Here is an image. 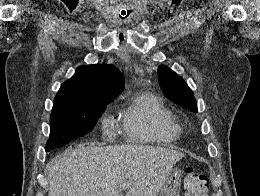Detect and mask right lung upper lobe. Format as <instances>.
<instances>
[{
  "mask_svg": "<svg viewBox=\"0 0 260 196\" xmlns=\"http://www.w3.org/2000/svg\"><path fill=\"white\" fill-rule=\"evenodd\" d=\"M124 88V77L113 65H87L59 89L53 106L110 103Z\"/></svg>",
  "mask_w": 260,
  "mask_h": 196,
  "instance_id": "1",
  "label": "right lung upper lobe"
}]
</instances>
